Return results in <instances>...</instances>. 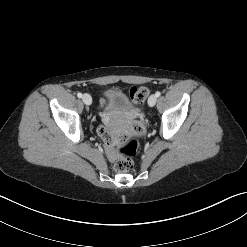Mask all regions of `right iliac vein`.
Listing matches in <instances>:
<instances>
[{
	"label": "right iliac vein",
	"mask_w": 247,
	"mask_h": 247,
	"mask_svg": "<svg viewBox=\"0 0 247 247\" xmlns=\"http://www.w3.org/2000/svg\"><path fill=\"white\" fill-rule=\"evenodd\" d=\"M82 100H83L84 104H86V105H91V103H92V98L89 94H84L82 96Z\"/></svg>",
	"instance_id": "1"
}]
</instances>
